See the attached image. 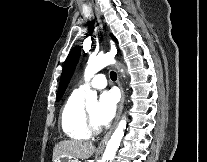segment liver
<instances>
[{"label": "liver", "mask_w": 207, "mask_h": 162, "mask_svg": "<svg viewBox=\"0 0 207 162\" xmlns=\"http://www.w3.org/2000/svg\"><path fill=\"white\" fill-rule=\"evenodd\" d=\"M95 152V146L92 143L79 140H63L57 143L53 149V160L60 158L88 159Z\"/></svg>", "instance_id": "6515ba94"}]
</instances>
